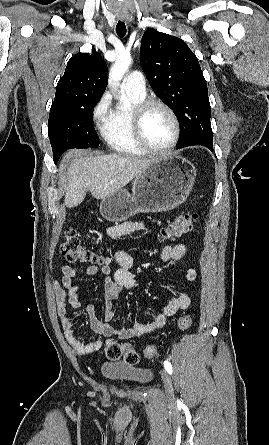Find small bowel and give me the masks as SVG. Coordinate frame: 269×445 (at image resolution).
Masks as SVG:
<instances>
[{
    "label": "small bowel",
    "mask_w": 269,
    "mask_h": 445,
    "mask_svg": "<svg viewBox=\"0 0 269 445\" xmlns=\"http://www.w3.org/2000/svg\"><path fill=\"white\" fill-rule=\"evenodd\" d=\"M143 227L144 225L141 221H130L109 227L106 232L109 237H117L139 231L143 229ZM185 255L186 247L183 244L165 246L161 250L160 260L163 263L180 261ZM114 260L116 262V268L113 271L109 265H91L85 270H78L69 265H62L61 280L53 283L57 311L65 338L79 355L96 352L101 349L103 344L100 339L93 340L89 343L80 341L75 336L73 324L69 317V307L75 310L81 308L80 291L74 280L82 275L94 276L100 274L103 276L105 289L103 320L97 318L93 304H88L86 307L91 328L103 336H116L120 339L141 337L162 328L167 318L175 315L178 311L187 309L190 305V296L186 292H181L173 296L162 311L152 320L148 322H137L128 328L114 327L111 323L115 315L113 301L118 299L123 289H135L138 286L133 275V270L135 269L133 258L125 251L120 250L115 253ZM196 276V270L190 266L187 270V279L194 281Z\"/></svg>",
    "instance_id": "c3829d8e"
}]
</instances>
